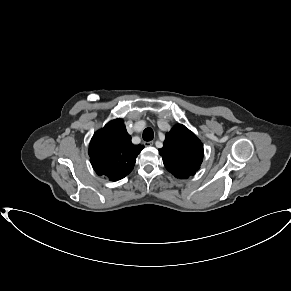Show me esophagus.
Returning a JSON list of instances; mask_svg holds the SVG:
<instances>
[{"mask_svg": "<svg viewBox=\"0 0 291 291\" xmlns=\"http://www.w3.org/2000/svg\"><path fill=\"white\" fill-rule=\"evenodd\" d=\"M144 145L145 146H152L153 145V141H145Z\"/></svg>", "mask_w": 291, "mask_h": 291, "instance_id": "esophagus-1", "label": "esophagus"}]
</instances>
